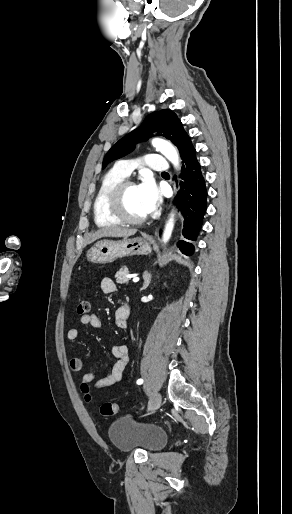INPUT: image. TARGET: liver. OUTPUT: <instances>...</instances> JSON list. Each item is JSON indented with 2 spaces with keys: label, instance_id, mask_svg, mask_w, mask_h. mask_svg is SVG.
<instances>
[{
  "label": "liver",
  "instance_id": "liver-1",
  "mask_svg": "<svg viewBox=\"0 0 292 514\" xmlns=\"http://www.w3.org/2000/svg\"><path fill=\"white\" fill-rule=\"evenodd\" d=\"M137 230H128V228H121V226H105L101 230H97L95 234H90V242H95L99 238H128L134 236Z\"/></svg>",
  "mask_w": 292,
  "mask_h": 514
}]
</instances>
